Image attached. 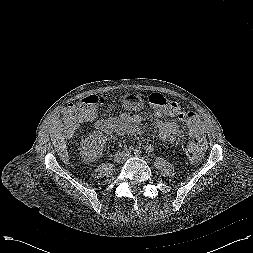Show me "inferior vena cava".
<instances>
[{"label": "inferior vena cava", "mask_w": 253, "mask_h": 253, "mask_svg": "<svg viewBox=\"0 0 253 253\" xmlns=\"http://www.w3.org/2000/svg\"><path fill=\"white\" fill-rule=\"evenodd\" d=\"M126 159V155H125V153H117L116 155H115V161H117V162H122V161H124Z\"/></svg>", "instance_id": "obj_1"}]
</instances>
